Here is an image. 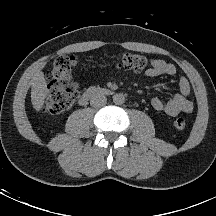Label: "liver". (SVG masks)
<instances>
[{
	"mask_svg": "<svg viewBox=\"0 0 216 216\" xmlns=\"http://www.w3.org/2000/svg\"><path fill=\"white\" fill-rule=\"evenodd\" d=\"M47 83L42 71L35 73L31 88V102L36 111H40L47 97Z\"/></svg>",
	"mask_w": 216,
	"mask_h": 216,
	"instance_id": "6515ba94",
	"label": "liver"
}]
</instances>
